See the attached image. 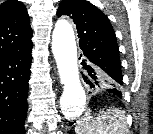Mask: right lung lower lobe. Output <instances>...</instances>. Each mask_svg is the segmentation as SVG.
<instances>
[{
	"instance_id": "1",
	"label": "right lung lower lobe",
	"mask_w": 153,
	"mask_h": 134,
	"mask_svg": "<svg viewBox=\"0 0 153 134\" xmlns=\"http://www.w3.org/2000/svg\"><path fill=\"white\" fill-rule=\"evenodd\" d=\"M32 46L0 58V134H25Z\"/></svg>"
}]
</instances>
